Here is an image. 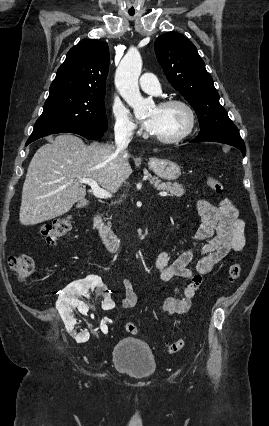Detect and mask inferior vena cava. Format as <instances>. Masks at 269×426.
Segmentation results:
<instances>
[{
  "mask_svg": "<svg viewBox=\"0 0 269 426\" xmlns=\"http://www.w3.org/2000/svg\"><path fill=\"white\" fill-rule=\"evenodd\" d=\"M130 142V134L128 133H116L115 134V144H116V152L125 151L128 144Z\"/></svg>",
  "mask_w": 269,
  "mask_h": 426,
  "instance_id": "1",
  "label": "inferior vena cava"
}]
</instances>
